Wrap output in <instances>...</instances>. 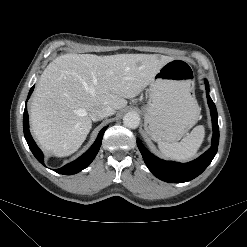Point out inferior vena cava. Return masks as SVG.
<instances>
[{
    "mask_svg": "<svg viewBox=\"0 0 247 247\" xmlns=\"http://www.w3.org/2000/svg\"><path fill=\"white\" fill-rule=\"evenodd\" d=\"M115 113V109H113L109 105H101L95 107L90 112V117L93 121H99L107 116H111Z\"/></svg>",
    "mask_w": 247,
    "mask_h": 247,
    "instance_id": "602c4592",
    "label": "inferior vena cava"
}]
</instances>
